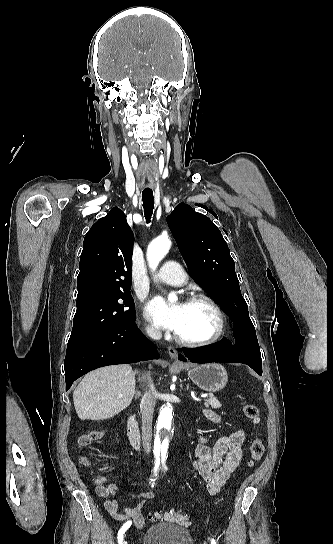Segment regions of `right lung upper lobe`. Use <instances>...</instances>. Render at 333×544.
Wrapping results in <instances>:
<instances>
[{"label": "right lung upper lobe", "instance_id": "1", "mask_svg": "<svg viewBox=\"0 0 333 544\" xmlns=\"http://www.w3.org/2000/svg\"><path fill=\"white\" fill-rule=\"evenodd\" d=\"M134 237L123 211L114 207L84 238L77 300L130 289Z\"/></svg>", "mask_w": 333, "mask_h": 544}]
</instances>
